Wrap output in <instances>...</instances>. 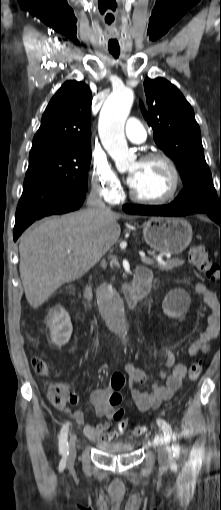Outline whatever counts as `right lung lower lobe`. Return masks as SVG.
<instances>
[{
	"instance_id": "98d812e1",
	"label": "right lung lower lobe",
	"mask_w": 221,
	"mask_h": 510,
	"mask_svg": "<svg viewBox=\"0 0 221 510\" xmlns=\"http://www.w3.org/2000/svg\"><path fill=\"white\" fill-rule=\"evenodd\" d=\"M84 199L85 193H81L75 197L59 202L53 206L47 207L44 210L40 211L39 213H36L31 216L16 212L15 227L13 232L14 241H16L18 237L21 235V233L35 220L53 214H62L77 210L82 205Z\"/></svg>"
}]
</instances>
